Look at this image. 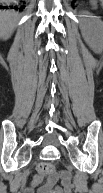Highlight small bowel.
Segmentation results:
<instances>
[{"label": "small bowel", "instance_id": "obj_1", "mask_svg": "<svg viewBox=\"0 0 103 193\" xmlns=\"http://www.w3.org/2000/svg\"><path fill=\"white\" fill-rule=\"evenodd\" d=\"M59 181V185L56 186L53 184L42 185V178L36 176L23 193H73V183L68 174L61 175Z\"/></svg>", "mask_w": 103, "mask_h": 193}]
</instances>
